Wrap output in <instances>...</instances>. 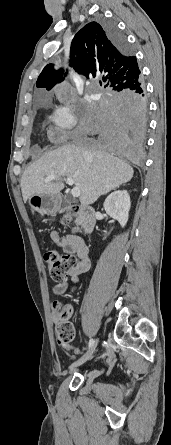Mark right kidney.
Masks as SVG:
<instances>
[{"mask_svg": "<svg viewBox=\"0 0 171 445\" xmlns=\"http://www.w3.org/2000/svg\"><path fill=\"white\" fill-rule=\"evenodd\" d=\"M130 206V196L126 190L112 192L104 202L106 213L117 220L122 227L128 221Z\"/></svg>", "mask_w": 171, "mask_h": 445, "instance_id": "right-kidney-1", "label": "right kidney"}]
</instances>
